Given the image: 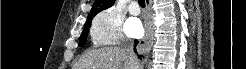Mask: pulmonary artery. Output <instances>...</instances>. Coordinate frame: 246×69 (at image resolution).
Returning a JSON list of instances; mask_svg holds the SVG:
<instances>
[{
  "mask_svg": "<svg viewBox=\"0 0 246 69\" xmlns=\"http://www.w3.org/2000/svg\"><path fill=\"white\" fill-rule=\"evenodd\" d=\"M129 12L132 15H138L140 13V10L136 3L131 4Z\"/></svg>",
  "mask_w": 246,
  "mask_h": 69,
  "instance_id": "e3ab8cb5",
  "label": "pulmonary artery"
}]
</instances>
